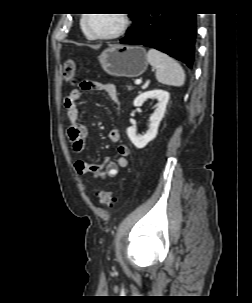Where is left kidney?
<instances>
[{"mask_svg": "<svg viewBox=\"0 0 252 303\" xmlns=\"http://www.w3.org/2000/svg\"><path fill=\"white\" fill-rule=\"evenodd\" d=\"M147 99H157L158 101V106L150 117V125L147 132L144 135H137L135 127L131 126L127 128V135L130 141L139 149L144 148L156 137L160 121L164 117L166 105L169 100V93L159 89L146 91L135 98L133 105L135 107L142 106Z\"/></svg>", "mask_w": 252, "mask_h": 303, "instance_id": "left-kidney-1", "label": "left kidney"}]
</instances>
